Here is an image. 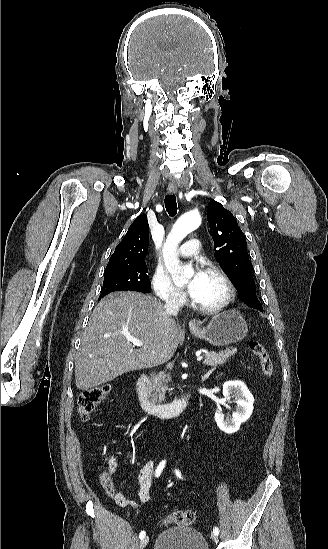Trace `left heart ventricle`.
<instances>
[{
  "label": "left heart ventricle",
  "instance_id": "left-heart-ventricle-1",
  "mask_svg": "<svg viewBox=\"0 0 328 549\" xmlns=\"http://www.w3.org/2000/svg\"><path fill=\"white\" fill-rule=\"evenodd\" d=\"M204 270L208 267H201ZM191 270V268L189 267ZM203 270V279L197 296L194 298L200 304L212 306L219 302L225 295V285L222 279L214 273H205Z\"/></svg>",
  "mask_w": 328,
  "mask_h": 549
}]
</instances>
